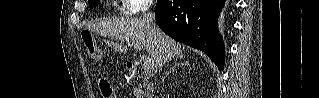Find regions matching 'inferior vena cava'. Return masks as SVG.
<instances>
[{"mask_svg":"<svg viewBox=\"0 0 319 98\" xmlns=\"http://www.w3.org/2000/svg\"><path fill=\"white\" fill-rule=\"evenodd\" d=\"M151 6H152L151 1L144 5V7H143L144 12H143L142 18H143L144 22L146 23L148 29L153 32L155 30L156 24H155L154 14L149 11Z\"/></svg>","mask_w":319,"mask_h":98,"instance_id":"inferior-vena-cava-1","label":"inferior vena cava"}]
</instances>
